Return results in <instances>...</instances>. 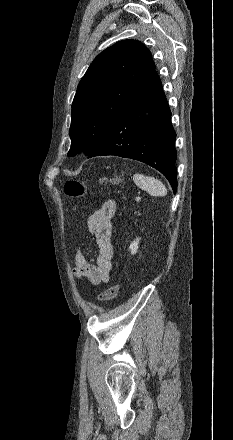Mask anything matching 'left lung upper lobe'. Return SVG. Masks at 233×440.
<instances>
[{
  "label": "left lung upper lobe",
  "instance_id": "5c2ea615",
  "mask_svg": "<svg viewBox=\"0 0 233 440\" xmlns=\"http://www.w3.org/2000/svg\"><path fill=\"white\" fill-rule=\"evenodd\" d=\"M154 71L150 51L137 40L102 51L81 79L72 103L68 156L91 154Z\"/></svg>",
  "mask_w": 233,
  "mask_h": 440
}]
</instances>
